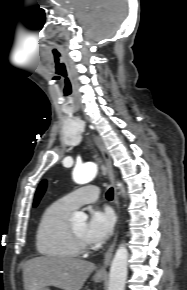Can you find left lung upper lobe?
I'll return each mask as SVG.
<instances>
[{"label":"left lung upper lobe","instance_id":"left-lung-upper-lobe-1","mask_svg":"<svg viewBox=\"0 0 187 290\" xmlns=\"http://www.w3.org/2000/svg\"><path fill=\"white\" fill-rule=\"evenodd\" d=\"M46 189V181H42L41 184L39 185L36 195H35V200H34V206H36L42 197L44 191Z\"/></svg>","mask_w":187,"mask_h":290}]
</instances>
